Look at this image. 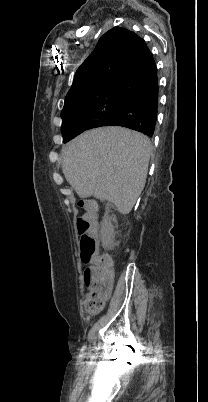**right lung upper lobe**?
<instances>
[{
    "label": "right lung upper lobe",
    "mask_w": 208,
    "mask_h": 402,
    "mask_svg": "<svg viewBox=\"0 0 208 402\" xmlns=\"http://www.w3.org/2000/svg\"><path fill=\"white\" fill-rule=\"evenodd\" d=\"M145 43L134 32L114 27L98 41L75 73L67 96L112 81Z\"/></svg>",
    "instance_id": "1"
}]
</instances>
